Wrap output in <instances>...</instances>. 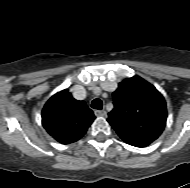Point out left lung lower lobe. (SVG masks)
Returning a JSON list of instances; mask_svg holds the SVG:
<instances>
[{
    "label": "left lung lower lobe",
    "instance_id": "obj_1",
    "mask_svg": "<svg viewBox=\"0 0 190 188\" xmlns=\"http://www.w3.org/2000/svg\"><path fill=\"white\" fill-rule=\"evenodd\" d=\"M113 128L124 142L136 147H146L158 138L155 135L137 133L121 127Z\"/></svg>",
    "mask_w": 190,
    "mask_h": 188
}]
</instances>
